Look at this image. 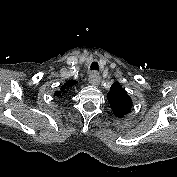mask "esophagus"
Here are the masks:
<instances>
[{
    "instance_id": "esophagus-1",
    "label": "esophagus",
    "mask_w": 177,
    "mask_h": 177,
    "mask_svg": "<svg viewBox=\"0 0 177 177\" xmlns=\"http://www.w3.org/2000/svg\"><path fill=\"white\" fill-rule=\"evenodd\" d=\"M100 80H101V78H100V75H99L98 72H96V71L90 72V74H89V83L91 85L98 86L99 83H100Z\"/></svg>"
}]
</instances>
